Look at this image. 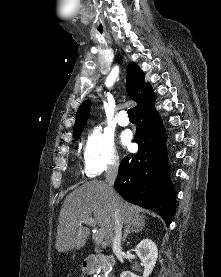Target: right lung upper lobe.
<instances>
[{
  "label": "right lung upper lobe",
  "mask_w": 221,
  "mask_h": 277,
  "mask_svg": "<svg viewBox=\"0 0 221 277\" xmlns=\"http://www.w3.org/2000/svg\"><path fill=\"white\" fill-rule=\"evenodd\" d=\"M144 79L145 75L143 71L138 65L131 62L128 65L126 89L130 98L137 103V106L134 108L135 112L154 96L152 87L149 83H145ZM90 108L91 101L86 100L77 110L73 134L84 129L90 114Z\"/></svg>",
  "instance_id": "obj_1"
}]
</instances>
